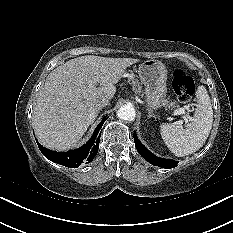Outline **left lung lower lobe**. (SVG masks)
<instances>
[{
  "mask_svg": "<svg viewBox=\"0 0 233 233\" xmlns=\"http://www.w3.org/2000/svg\"><path fill=\"white\" fill-rule=\"evenodd\" d=\"M134 142L136 145V149L139 152V154L145 159L147 160L149 163L158 166V167H162V168H174L177 166L178 162L171 160V159H164V158H159L157 156H155L154 154H152L139 140L138 137L136 135V133H134Z\"/></svg>",
  "mask_w": 233,
  "mask_h": 233,
  "instance_id": "obj_1",
  "label": "left lung lower lobe"
}]
</instances>
